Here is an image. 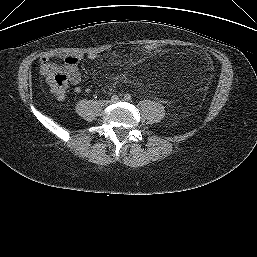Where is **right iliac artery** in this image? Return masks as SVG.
<instances>
[{"label": "right iliac artery", "mask_w": 257, "mask_h": 257, "mask_svg": "<svg viewBox=\"0 0 257 257\" xmlns=\"http://www.w3.org/2000/svg\"><path fill=\"white\" fill-rule=\"evenodd\" d=\"M118 99H119V97H118L117 95H113V96L111 97V101H112V102H116V101H118Z\"/></svg>", "instance_id": "82829eb1"}]
</instances>
